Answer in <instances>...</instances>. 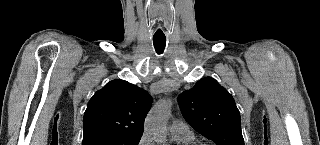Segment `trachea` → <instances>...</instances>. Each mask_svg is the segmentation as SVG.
I'll return each instance as SVG.
<instances>
[{"instance_id": "obj_1", "label": "trachea", "mask_w": 320, "mask_h": 145, "mask_svg": "<svg viewBox=\"0 0 320 145\" xmlns=\"http://www.w3.org/2000/svg\"><path fill=\"white\" fill-rule=\"evenodd\" d=\"M153 44L157 54H162L166 46L165 37H153Z\"/></svg>"}]
</instances>
